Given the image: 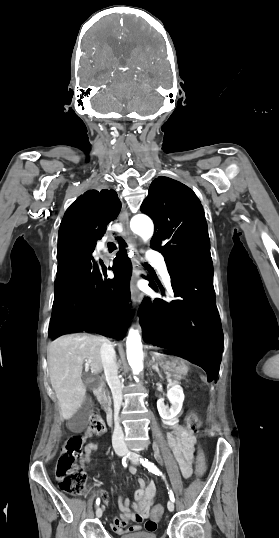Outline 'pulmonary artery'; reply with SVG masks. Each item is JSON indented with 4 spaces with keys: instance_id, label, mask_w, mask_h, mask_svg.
Returning a JSON list of instances; mask_svg holds the SVG:
<instances>
[{
    "instance_id": "1",
    "label": "pulmonary artery",
    "mask_w": 279,
    "mask_h": 538,
    "mask_svg": "<svg viewBox=\"0 0 279 538\" xmlns=\"http://www.w3.org/2000/svg\"><path fill=\"white\" fill-rule=\"evenodd\" d=\"M158 271H160L161 269L160 268H157Z\"/></svg>"
}]
</instances>
